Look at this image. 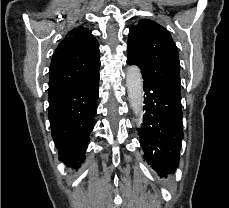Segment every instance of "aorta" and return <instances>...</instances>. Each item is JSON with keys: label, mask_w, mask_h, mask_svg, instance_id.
Wrapping results in <instances>:
<instances>
[{"label": "aorta", "mask_w": 229, "mask_h": 208, "mask_svg": "<svg viewBox=\"0 0 229 208\" xmlns=\"http://www.w3.org/2000/svg\"><path fill=\"white\" fill-rule=\"evenodd\" d=\"M126 86L130 106L135 117L139 121L143 115L144 91L142 74L138 66L132 65L127 68Z\"/></svg>", "instance_id": "obj_1"}]
</instances>
